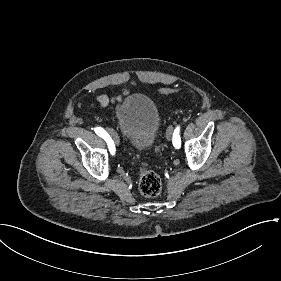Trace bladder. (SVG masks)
<instances>
[{
  "instance_id": "1",
  "label": "bladder",
  "mask_w": 281,
  "mask_h": 281,
  "mask_svg": "<svg viewBox=\"0 0 281 281\" xmlns=\"http://www.w3.org/2000/svg\"><path fill=\"white\" fill-rule=\"evenodd\" d=\"M114 118L121 135L133 149L147 150L160 139L161 113L147 93L138 92L120 99L115 105Z\"/></svg>"
}]
</instances>
